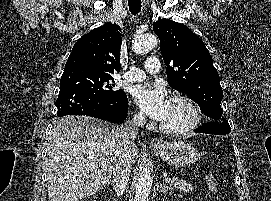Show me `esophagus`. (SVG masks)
Masks as SVG:
<instances>
[{"label":"esophagus","mask_w":271,"mask_h":201,"mask_svg":"<svg viewBox=\"0 0 271 201\" xmlns=\"http://www.w3.org/2000/svg\"><path fill=\"white\" fill-rule=\"evenodd\" d=\"M150 144L153 146H160L162 145V141L156 137L150 139Z\"/></svg>","instance_id":"obj_1"}]
</instances>
